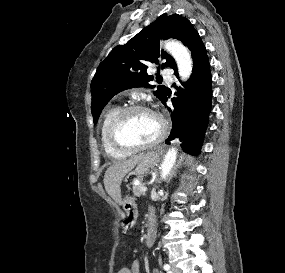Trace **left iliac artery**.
Masks as SVG:
<instances>
[{"mask_svg":"<svg viewBox=\"0 0 285 273\" xmlns=\"http://www.w3.org/2000/svg\"><path fill=\"white\" fill-rule=\"evenodd\" d=\"M163 269L166 270V271H168V273H171V272L169 271L170 265L164 264Z\"/></svg>","mask_w":285,"mask_h":273,"instance_id":"44dca946","label":"left iliac artery"}]
</instances>
